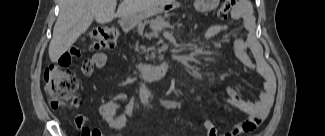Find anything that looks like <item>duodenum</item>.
<instances>
[{
	"instance_id": "410a0bca",
	"label": "duodenum",
	"mask_w": 325,
	"mask_h": 136,
	"mask_svg": "<svg viewBox=\"0 0 325 136\" xmlns=\"http://www.w3.org/2000/svg\"><path fill=\"white\" fill-rule=\"evenodd\" d=\"M121 27L123 29H127L128 22L123 21L121 23ZM171 70H172V64L168 61H165L159 65L138 64L136 66V71L139 74L150 78H161Z\"/></svg>"
}]
</instances>
